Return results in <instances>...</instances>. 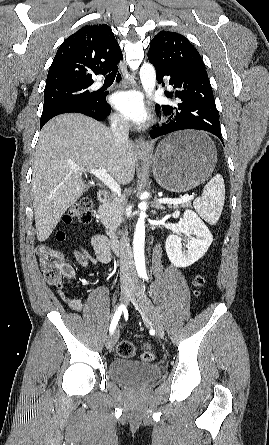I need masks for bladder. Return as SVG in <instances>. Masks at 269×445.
<instances>
[{"label": "bladder", "instance_id": "31cf9c89", "mask_svg": "<svg viewBox=\"0 0 269 445\" xmlns=\"http://www.w3.org/2000/svg\"><path fill=\"white\" fill-rule=\"evenodd\" d=\"M108 372L111 379L120 384L146 385L160 376L161 368L156 364L115 359L109 364Z\"/></svg>", "mask_w": 269, "mask_h": 445}]
</instances>
